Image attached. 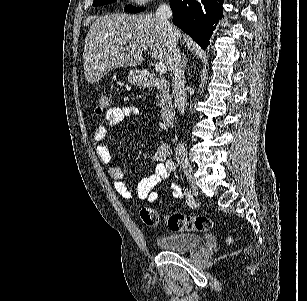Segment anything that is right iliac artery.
<instances>
[{
    "label": "right iliac artery",
    "mask_w": 307,
    "mask_h": 301,
    "mask_svg": "<svg viewBox=\"0 0 307 301\" xmlns=\"http://www.w3.org/2000/svg\"><path fill=\"white\" fill-rule=\"evenodd\" d=\"M166 167H167L170 171L176 170V164H175L174 161H172V160H167V162H166Z\"/></svg>",
    "instance_id": "right-iliac-artery-1"
}]
</instances>
